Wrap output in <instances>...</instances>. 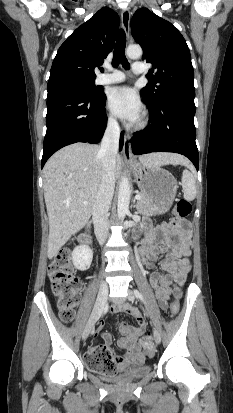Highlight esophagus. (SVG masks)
I'll use <instances>...</instances> for the list:
<instances>
[{
  "mask_svg": "<svg viewBox=\"0 0 233 413\" xmlns=\"http://www.w3.org/2000/svg\"><path fill=\"white\" fill-rule=\"evenodd\" d=\"M130 10L128 8H125L121 12V24L122 28L126 34V37H129V29H130ZM123 158L125 161H133V156L131 152V143H130V136L125 135L124 136V143H123Z\"/></svg>",
  "mask_w": 233,
  "mask_h": 413,
  "instance_id": "esophagus-1",
  "label": "esophagus"
}]
</instances>
